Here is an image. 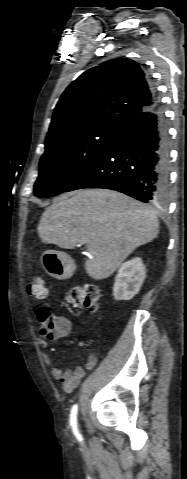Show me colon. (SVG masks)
Wrapping results in <instances>:
<instances>
[{
    "mask_svg": "<svg viewBox=\"0 0 187 479\" xmlns=\"http://www.w3.org/2000/svg\"><path fill=\"white\" fill-rule=\"evenodd\" d=\"M27 293L36 299H45L48 295L43 276H35L27 283ZM67 304L86 309L94 313L99 309L100 293L95 285H75L65 293ZM36 318L40 323V334L46 340H54L61 335L62 325L47 308H39Z\"/></svg>",
    "mask_w": 187,
    "mask_h": 479,
    "instance_id": "5ec220e1",
    "label": "colon"
}]
</instances>
